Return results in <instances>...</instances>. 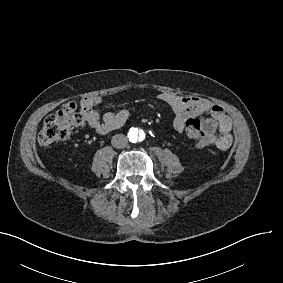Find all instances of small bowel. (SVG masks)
<instances>
[{
    "instance_id": "1",
    "label": "small bowel",
    "mask_w": 283,
    "mask_h": 283,
    "mask_svg": "<svg viewBox=\"0 0 283 283\" xmlns=\"http://www.w3.org/2000/svg\"><path fill=\"white\" fill-rule=\"evenodd\" d=\"M157 98L172 110L174 114L173 126L177 132L183 133L181 124L185 118L197 117L201 120L209 135V143L206 147L214 146L220 150H227L232 146L233 122L220 105L205 97L176 95L171 92H161L157 95ZM101 102L100 96L86 97L80 102L82 115L92 129L99 134H107L126 124L130 117V112L127 109L101 115L99 112Z\"/></svg>"
}]
</instances>
